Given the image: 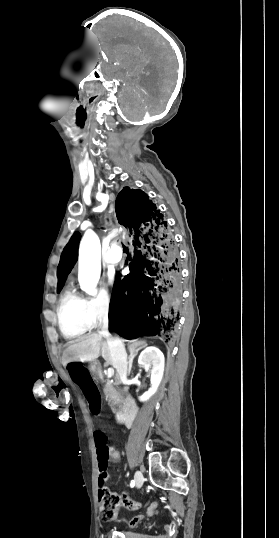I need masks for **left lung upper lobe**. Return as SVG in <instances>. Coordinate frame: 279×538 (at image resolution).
I'll list each match as a JSON object with an SVG mask.
<instances>
[{
	"label": "left lung upper lobe",
	"instance_id": "obj_1",
	"mask_svg": "<svg viewBox=\"0 0 279 538\" xmlns=\"http://www.w3.org/2000/svg\"><path fill=\"white\" fill-rule=\"evenodd\" d=\"M81 235L79 232H75L74 235L71 237L69 243L66 245V247L63 250V253L60 258V263L58 266V290L59 293L64 285V282L70 273L71 269L73 268L74 264L77 261L78 258V245L80 241Z\"/></svg>",
	"mask_w": 279,
	"mask_h": 538
}]
</instances>
